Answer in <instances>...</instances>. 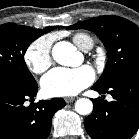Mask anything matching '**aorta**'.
Listing matches in <instances>:
<instances>
[{"mask_svg": "<svg viewBox=\"0 0 139 139\" xmlns=\"http://www.w3.org/2000/svg\"><path fill=\"white\" fill-rule=\"evenodd\" d=\"M78 54L77 49L66 41L56 43L52 50L53 58L64 66H76ZM75 110L80 115H88L93 110V103L90 99L80 98L75 102Z\"/></svg>", "mask_w": 139, "mask_h": 139, "instance_id": "aorta-1", "label": "aorta"}]
</instances>
